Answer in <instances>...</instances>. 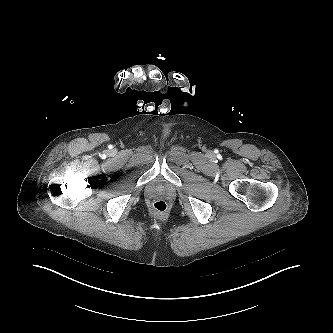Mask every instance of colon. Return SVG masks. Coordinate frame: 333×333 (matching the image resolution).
<instances>
[{"label":"colon","instance_id":"obj_1","mask_svg":"<svg viewBox=\"0 0 333 333\" xmlns=\"http://www.w3.org/2000/svg\"><path fill=\"white\" fill-rule=\"evenodd\" d=\"M151 207H152V210L159 215L166 214L169 209L167 202L162 199H157V200L153 201Z\"/></svg>","mask_w":333,"mask_h":333}]
</instances>
